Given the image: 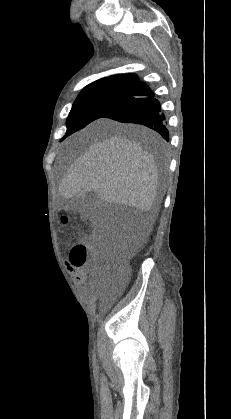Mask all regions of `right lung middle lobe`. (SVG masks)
Here are the masks:
<instances>
[{
	"label": "right lung middle lobe",
	"instance_id": "1",
	"mask_svg": "<svg viewBox=\"0 0 231 419\" xmlns=\"http://www.w3.org/2000/svg\"><path fill=\"white\" fill-rule=\"evenodd\" d=\"M134 89L135 87L129 86H100L83 89L69 113L64 138L103 117L109 110L128 98Z\"/></svg>",
	"mask_w": 231,
	"mask_h": 419
}]
</instances>
